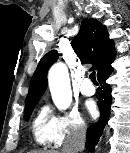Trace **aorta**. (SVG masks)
Instances as JSON below:
<instances>
[{
  "instance_id": "obj_1",
  "label": "aorta",
  "mask_w": 130,
  "mask_h": 153,
  "mask_svg": "<svg viewBox=\"0 0 130 153\" xmlns=\"http://www.w3.org/2000/svg\"><path fill=\"white\" fill-rule=\"evenodd\" d=\"M48 83L54 104L59 110H66L72 102V91L68 69L64 63H55L50 68Z\"/></svg>"
}]
</instances>
